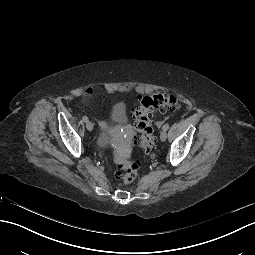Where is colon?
<instances>
[{
  "label": "colon",
  "instance_id": "1",
  "mask_svg": "<svg viewBox=\"0 0 255 255\" xmlns=\"http://www.w3.org/2000/svg\"><path fill=\"white\" fill-rule=\"evenodd\" d=\"M178 99L172 94H155L143 97L137 104L133 116L134 129L140 147L149 152L155 142L151 116L155 112H168L178 109ZM117 169L116 176L124 183H132L139 169L138 162L130 161L123 157L115 158Z\"/></svg>",
  "mask_w": 255,
  "mask_h": 255
}]
</instances>
